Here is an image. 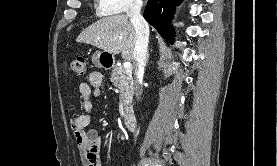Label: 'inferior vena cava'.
<instances>
[{
  "label": "inferior vena cava",
  "instance_id": "602c4592",
  "mask_svg": "<svg viewBox=\"0 0 277 166\" xmlns=\"http://www.w3.org/2000/svg\"><path fill=\"white\" fill-rule=\"evenodd\" d=\"M141 0H131L127 15L135 28V47L133 57L135 60V95L138 100L142 94V81L147 60V48L149 43V26L141 15Z\"/></svg>",
  "mask_w": 277,
  "mask_h": 166
}]
</instances>
